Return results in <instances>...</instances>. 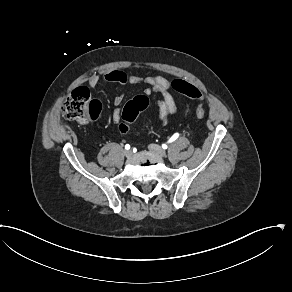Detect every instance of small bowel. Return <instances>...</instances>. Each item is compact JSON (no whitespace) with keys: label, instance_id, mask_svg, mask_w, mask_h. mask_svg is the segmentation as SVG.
<instances>
[{"label":"small bowel","instance_id":"1","mask_svg":"<svg viewBox=\"0 0 292 292\" xmlns=\"http://www.w3.org/2000/svg\"><path fill=\"white\" fill-rule=\"evenodd\" d=\"M101 80L107 82L118 83L120 85H144L143 93L145 95H151L152 93H158V114L157 119L159 124L165 125L177 113V105L171 94L174 90L172 82L167 78L160 75H138L133 73H126L121 70H108L103 74H93L88 80V87L95 88ZM123 94H118L114 98V110L112 112V120L115 124L121 122V105L123 103ZM121 126V124H120ZM121 131V129H120ZM128 131V130H127ZM122 132V133H127Z\"/></svg>","mask_w":292,"mask_h":292}]
</instances>
